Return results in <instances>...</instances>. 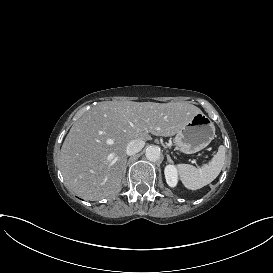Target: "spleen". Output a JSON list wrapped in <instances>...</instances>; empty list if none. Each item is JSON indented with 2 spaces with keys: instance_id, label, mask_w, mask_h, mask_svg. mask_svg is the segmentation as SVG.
Masks as SVG:
<instances>
[{
  "instance_id": "1",
  "label": "spleen",
  "mask_w": 273,
  "mask_h": 273,
  "mask_svg": "<svg viewBox=\"0 0 273 273\" xmlns=\"http://www.w3.org/2000/svg\"><path fill=\"white\" fill-rule=\"evenodd\" d=\"M225 162V146L218 147V153L209 165L201 169H197L193 165L182 164L179 166L182 180L185 186L190 190L200 189L212 181L219 175Z\"/></svg>"
}]
</instances>
